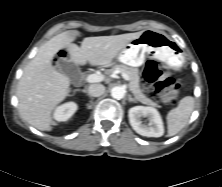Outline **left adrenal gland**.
<instances>
[{
	"label": "left adrenal gland",
	"instance_id": "obj_1",
	"mask_svg": "<svg viewBox=\"0 0 222 187\" xmlns=\"http://www.w3.org/2000/svg\"><path fill=\"white\" fill-rule=\"evenodd\" d=\"M128 101H129V102H135V103L137 102V100H135L134 98H132L131 95L128 96Z\"/></svg>",
	"mask_w": 222,
	"mask_h": 187
}]
</instances>
